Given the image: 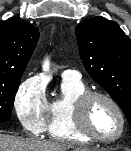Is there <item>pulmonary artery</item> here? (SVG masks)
<instances>
[{"label": "pulmonary artery", "mask_w": 131, "mask_h": 151, "mask_svg": "<svg viewBox=\"0 0 131 151\" xmlns=\"http://www.w3.org/2000/svg\"><path fill=\"white\" fill-rule=\"evenodd\" d=\"M62 77L65 79L79 80L81 78L80 73L76 70L67 69L62 73Z\"/></svg>", "instance_id": "e3ab8cb5"}]
</instances>
